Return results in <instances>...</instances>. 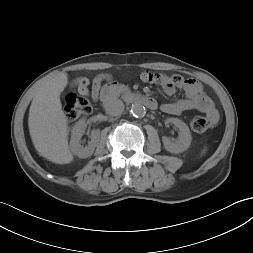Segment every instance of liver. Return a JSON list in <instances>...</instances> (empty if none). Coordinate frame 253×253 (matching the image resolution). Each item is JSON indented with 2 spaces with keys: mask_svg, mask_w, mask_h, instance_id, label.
<instances>
[{
  "mask_svg": "<svg viewBox=\"0 0 253 253\" xmlns=\"http://www.w3.org/2000/svg\"><path fill=\"white\" fill-rule=\"evenodd\" d=\"M67 83L68 75L64 72L48 79L36 91L29 109L33 145L42 157L56 164L73 161L68 147V123L59 98Z\"/></svg>",
  "mask_w": 253,
  "mask_h": 253,
  "instance_id": "obj_1",
  "label": "liver"
}]
</instances>
